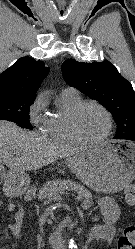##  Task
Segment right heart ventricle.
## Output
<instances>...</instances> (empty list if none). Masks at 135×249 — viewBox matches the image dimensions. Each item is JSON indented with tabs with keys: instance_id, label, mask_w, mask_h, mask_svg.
Here are the masks:
<instances>
[{
	"instance_id": "right-heart-ventricle-1",
	"label": "right heart ventricle",
	"mask_w": 135,
	"mask_h": 249,
	"mask_svg": "<svg viewBox=\"0 0 135 249\" xmlns=\"http://www.w3.org/2000/svg\"><path fill=\"white\" fill-rule=\"evenodd\" d=\"M80 103L82 99L79 94L61 93L56 101V112L47 119L44 129L46 136L65 145L81 144L73 136L69 125L71 113Z\"/></svg>"
}]
</instances>
